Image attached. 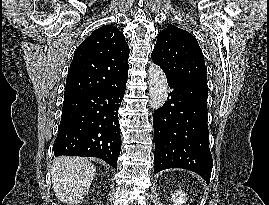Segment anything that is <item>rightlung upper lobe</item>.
Returning <instances> with one entry per match:
<instances>
[{"label": "right lung upper lobe", "instance_id": "cb5924a9", "mask_svg": "<svg viewBox=\"0 0 269 205\" xmlns=\"http://www.w3.org/2000/svg\"><path fill=\"white\" fill-rule=\"evenodd\" d=\"M129 46L113 25L93 31L76 49L66 78L64 97L119 85L128 72Z\"/></svg>", "mask_w": 269, "mask_h": 205}]
</instances>
